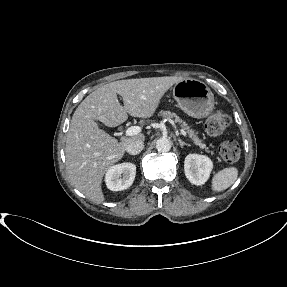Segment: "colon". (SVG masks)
<instances>
[{"label": "colon", "mask_w": 287, "mask_h": 287, "mask_svg": "<svg viewBox=\"0 0 287 287\" xmlns=\"http://www.w3.org/2000/svg\"><path fill=\"white\" fill-rule=\"evenodd\" d=\"M230 123V116L226 112L219 110L206 120L205 132L211 137L218 136ZM219 154L224 161L234 163L240 158V147L235 140H227L220 145Z\"/></svg>", "instance_id": "5ec220e1"}]
</instances>
